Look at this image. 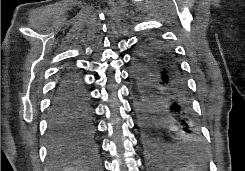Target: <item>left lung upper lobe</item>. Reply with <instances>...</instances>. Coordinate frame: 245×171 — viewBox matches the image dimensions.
<instances>
[{"label":"left lung upper lobe","instance_id":"obj_1","mask_svg":"<svg viewBox=\"0 0 245 171\" xmlns=\"http://www.w3.org/2000/svg\"><path fill=\"white\" fill-rule=\"evenodd\" d=\"M161 43L164 44L165 42L156 37L144 38L134 53V61H152L151 55Z\"/></svg>","mask_w":245,"mask_h":171}]
</instances>
